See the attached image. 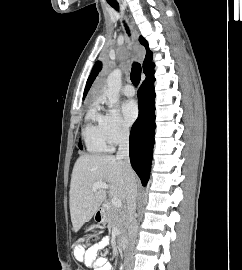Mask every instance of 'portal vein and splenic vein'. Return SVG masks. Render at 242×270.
I'll list each match as a JSON object with an SVG mask.
<instances>
[{"label":"portal vein and splenic vein","instance_id":"1","mask_svg":"<svg viewBox=\"0 0 242 270\" xmlns=\"http://www.w3.org/2000/svg\"><path fill=\"white\" fill-rule=\"evenodd\" d=\"M109 189V186L106 183L103 182H96L92 185V191H97L98 189ZM111 203L116 208H122V201L117 198H112Z\"/></svg>","mask_w":242,"mask_h":270}]
</instances>
